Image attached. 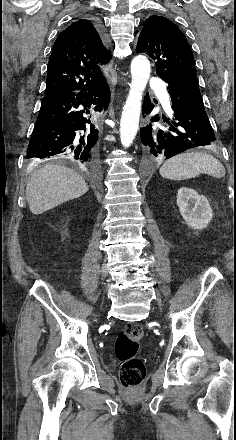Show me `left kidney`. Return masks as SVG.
<instances>
[{"instance_id":"5707ae66","label":"left kidney","mask_w":236,"mask_h":440,"mask_svg":"<svg viewBox=\"0 0 236 440\" xmlns=\"http://www.w3.org/2000/svg\"><path fill=\"white\" fill-rule=\"evenodd\" d=\"M177 205L186 224L193 229L206 228L213 217L206 197L199 195L194 189L181 187L177 193Z\"/></svg>"}]
</instances>
